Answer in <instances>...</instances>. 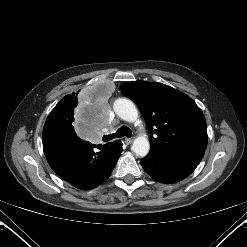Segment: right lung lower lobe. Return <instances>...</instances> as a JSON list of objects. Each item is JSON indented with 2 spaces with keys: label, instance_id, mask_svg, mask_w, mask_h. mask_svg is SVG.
<instances>
[{
  "label": "right lung lower lobe",
  "instance_id": "1",
  "mask_svg": "<svg viewBox=\"0 0 247 247\" xmlns=\"http://www.w3.org/2000/svg\"><path fill=\"white\" fill-rule=\"evenodd\" d=\"M43 149L50 167L66 182L78 189H92L111 174L122 152V142L93 145L80 139L73 126L46 121ZM100 149L95 152L93 148Z\"/></svg>",
  "mask_w": 247,
  "mask_h": 247
}]
</instances>
